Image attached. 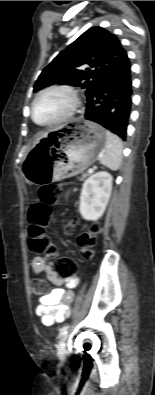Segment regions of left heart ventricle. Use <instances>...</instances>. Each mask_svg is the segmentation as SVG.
Returning <instances> with one entry per match:
<instances>
[{
    "mask_svg": "<svg viewBox=\"0 0 155 395\" xmlns=\"http://www.w3.org/2000/svg\"><path fill=\"white\" fill-rule=\"evenodd\" d=\"M70 104L69 97L62 92H51L42 96L34 109L35 120L48 123L60 117Z\"/></svg>",
    "mask_w": 155,
    "mask_h": 395,
    "instance_id": "b2bd125f",
    "label": "left heart ventricle"
}]
</instances>
